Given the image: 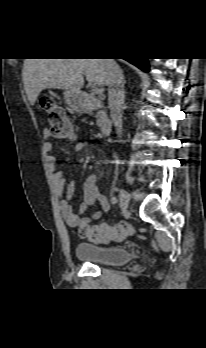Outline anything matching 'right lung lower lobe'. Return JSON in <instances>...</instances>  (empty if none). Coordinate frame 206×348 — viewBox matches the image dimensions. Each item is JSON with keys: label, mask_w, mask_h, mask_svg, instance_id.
Returning <instances> with one entry per match:
<instances>
[{"label": "right lung lower lobe", "mask_w": 206, "mask_h": 348, "mask_svg": "<svg viewBox=\"0 0 206 348\" xmlns=\"http://www.w3.org/2000/svg\"><path fill=\"white\" fill-rule=\"evenodd\" d=\"M125 60H127L130 63L134 64L135 66H137L138 68H140L143 71H148L149 70L148 60L147 59L136 58V59H125Z\"/></svg>", "instance_id": "obj_1"}]
</instances>
